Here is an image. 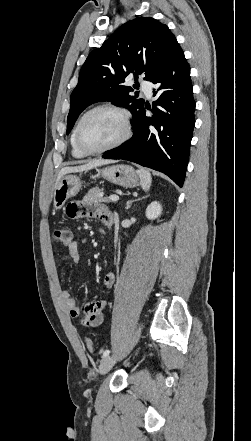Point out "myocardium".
I'll return each mask as SVG.
<instances>
[{
    "mask_svg": "<svg viewBox=\"0 0 251 441\" xmlns=\"http://www.w3.org/2000/svg\"><path fill=\"white\" fill-rule=\"evenodd\" d=\"M98 110H111V111L118 113L122 119L123 133L113 143H111L103 148H100V149L90 150V149H87L86 147L83 146V144L81 142V138H80V133H81L82 124H83L84 120L86 119V117L88 115H90L91 113L98 111ZM131 134H132V123H131L130 113L125 108H123L119 105H116L113 103H102V104H98V105L90 108L80 117V119L76 125V128H75V143H76V146L78 147V149L82 153H84L85 155H98V154H102L104 152L113 150V149L121 146L123 143H125L130 138Z\"/></svg>",
    "mask_w": 251,
    "mask_h": 441,
    "instance_id": "obj_1",
    "label": "myocardium"
}]
</instances>
